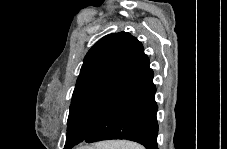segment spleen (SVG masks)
Returning <instances> with one entry per match:
<instances>
[{
  "label": "spleen",
  "instance_id": "spleen-1",
  "mask_svg": "<svg viewBox=\"0 0 227 149\" xmlns=\"http://www.w3.org/2000/svg\"><path fill=\"white\" fill-rule=\"evenodd\" d=\"M98 149H144L141 145L130 141H108L97 145Z\"/></svg>",
  "mask_w": 227,
  "mask_h": 149
}]
</instances>
